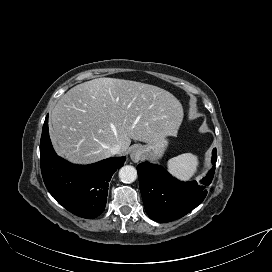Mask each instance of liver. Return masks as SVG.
I'll return each mask as SVG.
<instances>
[{
    "instance_id": "obj_1",
    "label": "liver",
    "mask_w": 272,
    "mask_h": 272,
    "mask_svg": "<svg viewBox=\"0 0 272 272\" xmlns=\"http://www.w3.org/2000/svg\"><path fill=\"white\" fill-rule=\"evenodd\" d=\"M183 108L157 86L116 78H97L71 88L50 116V137L57 153L75 164L128 151L131 139L148 144L176 136Z\"/></svg>"
}]
</instances>
